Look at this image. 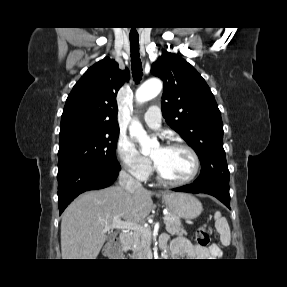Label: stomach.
<instances>
[{
    "label": "stomach",
    "mask_w": 287,
    "mask_h": 287,
    "mask_svg": "<svg viewBox=\"0 0 287 287\" xmlns=\"http://www.w3.org/2000/svg\"><path fill=\"white\" fill-rule=\"evenodd\" d=\"M162 200L167 209L179 218L192 220L202 212L201 202L191 194L164 192Z\"/></svg>",
    "instance_id": "stomach-1"
}]
</instances>
